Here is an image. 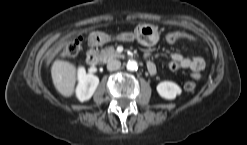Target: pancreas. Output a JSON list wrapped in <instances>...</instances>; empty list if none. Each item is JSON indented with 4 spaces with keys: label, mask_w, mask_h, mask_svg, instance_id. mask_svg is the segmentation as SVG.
Segmentation results:
<instances>
[{
    "label": "pancreas",
    "mask_w": 247,
    "mask_h": 145,
    "mask_svg": "<svg viewBox=\"0 0 247 145\" xmlns=\"http://www.w3.org/2000/svg\"><path fill=\"white\" fill-rule=\"evenodd\" d=\"M122 55L117 53L113 46L102 49L99 53L101 61L107 62L111 59L121 57Z\"/></svg>",
    "instance_id": "1"
}]
</instances>
